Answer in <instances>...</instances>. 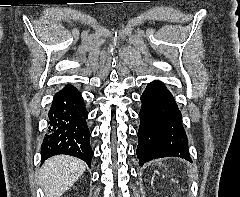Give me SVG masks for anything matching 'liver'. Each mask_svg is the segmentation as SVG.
Here are the masks:
<instances>
[{
	"instance_id": "1",
	"label": "liver",
	"mask_w": 240,
	"mask_h": 197,
	"mask_svg": "<svg viewBox=\"0 0 240 197\" xmlns=\"http://www.w3.org/2000/svg\"><path fill=\"white\" fill-rule=\"evenodd\" d=\"M85 169V162L68 155H56L46 160L39 177L45 197H61L73 186Z\"/></svg>"
}]
</instances>
